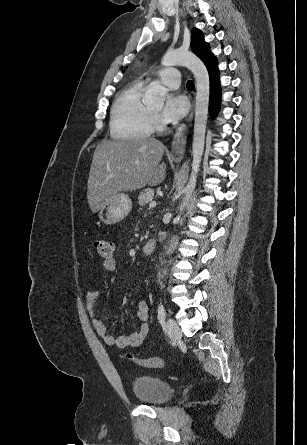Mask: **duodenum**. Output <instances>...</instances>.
I'll list each match as a JSON object with an SVG mask.
<instances>
[{
	"label": "duodenum",
	"instance_id": "obj_1",
	"mask_svg": "<svg viewBox=\"0 0 307 445\" xmlns=\"http://www.w3.org/2000/svg\"><path fill=\"white\" fill-rule=\"evenodd\" d=\"M156 242L154 238L149 239L143 246V253L151 255L155 250Z\"/></svg>",
	"mask_w": 307,
	"mask_h": 445
}]
</instances>
